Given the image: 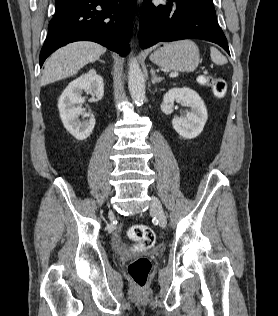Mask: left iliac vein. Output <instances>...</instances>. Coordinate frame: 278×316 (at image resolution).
<instances>
[{
    "mask_svg": "<svg viewBox=\"0 0 278 316\" xmlns=\"http://www.w3.org/2000/svg\"><path fill=\"white\" fill-rule=\"evenodd\" d=\"M150 211L154 215V217L158 220L159 225L165 228L167 225L166 215L164 213L160 200L153 195L151 196Z\"/></svg>",
    "mask_w": 278,
    "mask_h": 316,
    "instance_id": "left-iliac-vein-1",
    "label": "left iliac vein"
}]
</instances>
